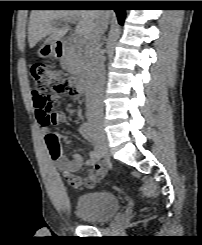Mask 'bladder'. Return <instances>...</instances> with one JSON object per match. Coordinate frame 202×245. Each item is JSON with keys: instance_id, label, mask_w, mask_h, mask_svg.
Here are the masks:
<instances>
[{"instance_id": "obj_1", "label": "bladder", "mask_w": 202, "mask_h": 245, "mask_svg": "<svg viewBox=\"0 0 202 245\" xmlns=\"http://www.w3.org/2000/svg\"><path fill=\"white\" fill-rule=\"evenodd\" d=\"M75 210L83 222L98 225L118 214L120 201L111 191H89L79 196Z\"/></svg>"}]
</instances>
